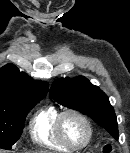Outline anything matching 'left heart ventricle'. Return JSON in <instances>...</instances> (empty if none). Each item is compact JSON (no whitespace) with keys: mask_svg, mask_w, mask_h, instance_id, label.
<instances>
[{"mask_svg":"<svg viewBox=\"0 0 130 153\" xmlns=\"http://www.w3.org/2000/svg\"><path fill=\"white\" fill-rule=\"evenodd\" d=\"M62 129L67 140L74 145L83 144L87 138L85 124L74 115H68L64 118Z\"/></svg>","mask_w":130,"mask_h":153,"instance_id":"1","label":"left heart ventricle"}]
</instances>
